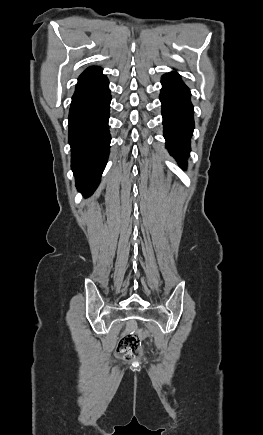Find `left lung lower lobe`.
I'll return each mask as SVG.
<instances>
[{"instance_id":"0a47b994","label":"left lung lower lobe","mask_w":263,"mask_h":435,"mask_svg":"<svg viewBox=\"0 0 263 435\" xmlns=\"http://www.w3.org/2000/svg\"><path fill=\"white\" fill-rule=\"evenodd\" d=\"M160 101L166 147L184 168L190 152V137L194 129L190 91L176 72L162 77Z\"/></svg>"}]
</instances>
